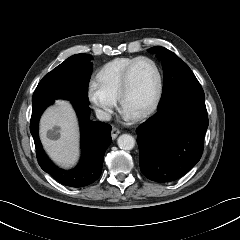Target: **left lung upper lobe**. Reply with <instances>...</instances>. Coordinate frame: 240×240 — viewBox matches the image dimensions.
<instances>
[{
  "label": "left lung upper lobe",
  "mask_w": 240,
  "mask_h": 240,
  "mask_svg": "<svg viewBox=\"0 0 240 240\" xmlns=\"http://www.w3.org/2000/svg\"><path fill=\"white\" fill-rule=\"evenodd\" d=\"M162 61L163 93L158 105V111L171 101L194 97L205 99L203 89L189 66L170 50L155 46L148 49Z\"/></svg>",
  "instance_id": "1"
}]
</instances>
